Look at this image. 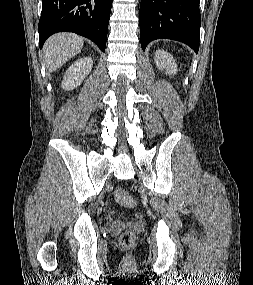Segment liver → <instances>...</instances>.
Masks as SVG:
<instances>
[{
  "mask_svg": "<svg viewBox=\"0 0 253 285\" xmlns=\"http://www.w3.org/2000/svg\"><path fill=\"white\" fill-rule=\"evenodd\" d=\"M83 43L81 37L71 33H58L51 36L43 47L47 70L53 72L60 68L81 51Z\"/></svg>",
  "mask_w": 253,
  "mask_h": 285,
  "instance_id": "obj_1",
  "label": "liver"
}]
</instances>
